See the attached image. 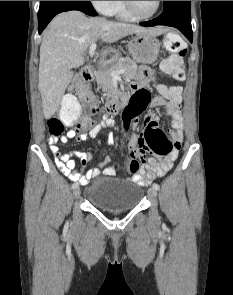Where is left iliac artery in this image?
Instances as JSON below:
<instances>
[{"instance_id": "obj_1", "label": "left iliac artery", "mask_w": 233, "mask_h": 295, "mask_svg": "<svg viewBox=\"0 0 233 295\" xmlns=\"http://www.w3.org/2000/svg\"><path fill=\"white\" fill-rule=\"evenodd\" d=\"M153 188H155L156 190H159L160 189V186L157 183H154L153 184Z\"/></svg>"}]
</instances>
